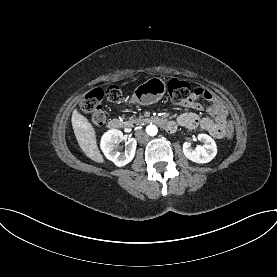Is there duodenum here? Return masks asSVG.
<instances>
[{"label": "duodenum", "mask_w": 277, "mask_h": 277, "mask_svg": "<svg viewBox=\"0 0 277 277\" xmlns=\"http://www.w3.org/2000/svg\"><path fill=\"white\" fill-rule=\"evenodd\" d=\"M148 121L153 122L168 132H173L176 130L177 125L174 121L167 120L163 117L153 116L148 119ZM124 126V122L119 118H112L108 122V128L110 129H121Z\"/></svg>", "instance_id": "1"}]
</instances>
